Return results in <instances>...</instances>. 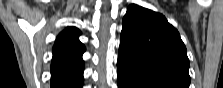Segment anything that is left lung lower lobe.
<instances>
[{"instance_id": "0a47b994", "label": "left lung lower lobe", "mask_w": 223, "mask_h": 88, "mask_svg": "<svg viewBox=\"0 0 223 88\" xmlns=\"http://www.w3.org/2000/svg\"><path fill=\"white\" fill-rule=\"evenodd\" d=\"M118 88H164L162 86L148 83L138 74L125 69L117 64Z\"/></svg>"}]
</instances>
